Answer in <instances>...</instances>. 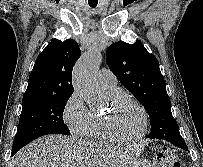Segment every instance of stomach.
Listing matches in <instances>:
<instances>
[{
  "mask_svg": "<svg viewBox=\"0 0 203 167\" xmlns=\"http://www.w3.org/2000/svg\"><path fill=\"white\" fill-rule=\"evenodd\" d=\"M130 167H154L148 160L138 159L135 160Z\"/></svg>",
  "mask_w": 203,
  "mask_h": 167,
  "instance_id": "obj_1",
  "label": "stomach"
}]
</instances>
